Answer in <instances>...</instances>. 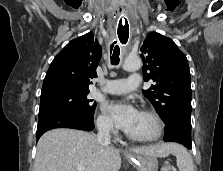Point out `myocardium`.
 <instances>
[{"label": "myocardium", "mask_w": 223, "mask_h": 171, "mask_svg": "<svg viewBox=\"0 0 223 171\" xmlns=\"http://www.w3.org/2000/svg\"><path fill=\"white\" fill-rule=\"evenodd\" d=\"M140 113L152 118L156 126L155 133L152 136L146 138L134 137L127 133L126 134L127 138L138 143H151L158 140L164 132V123L162 118L155 111L149 109H143L140 111Z\"/></svg>", "instance_id": "f54148a6"}]
</instances>
